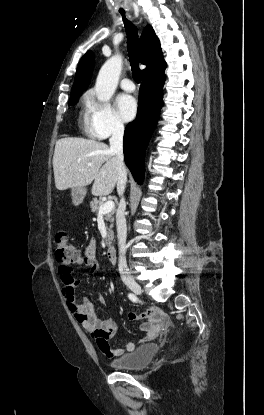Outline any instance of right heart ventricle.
Masks as SVG:
<instances>
[{
  "instance_id": "1",
  "label": "right heart ventricle",
  "mask_w": 264,
  "mask_h": 415,
  "mask_svg": "<svg viewBox=\"0 0 264 415\" xmlns=\"http://www.w3.org/2000/svg\"><path fill=\"white\" fill-rule=\"evenodd\" d=\"M89 112H90L89 101L87 99H83L82 110H81V117H82L81 122H82L83 128L85 129L88 135L92 137H96V135L93 133L91 126H90Z\"/></svg>"
}]
</instances>
